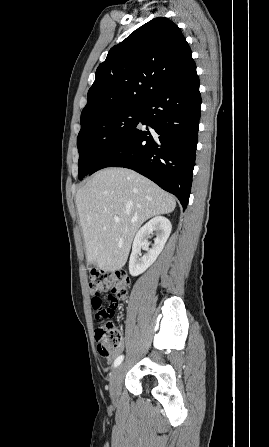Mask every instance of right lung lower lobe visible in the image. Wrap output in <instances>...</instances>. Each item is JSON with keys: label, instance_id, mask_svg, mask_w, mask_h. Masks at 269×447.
<instances>
[{"label": "right lung lower lobe", "instance_id": "obj_1", "mask_svg": "<svg viewBox=\"0 0 269 447\" xmlns=\"http://www.w3.org/2000/svg\"><path fill=\"white\" fill-rule=\"evenodd\" d=\"M136 128L97 162L89 175L106 167H125L174 194L187 207L195 165L201 95L195 62L148 97Z\"/></svg>", "mask_w": 269, "mask_h": 447}]
</instances>
